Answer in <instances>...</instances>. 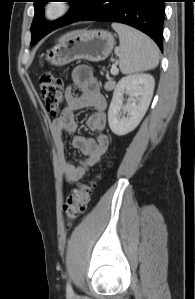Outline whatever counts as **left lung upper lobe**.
I'll list each match as a JSON object with an SVG mask.
<instances>
[{"label": "left lung upper lobe", "mask_w": 195, "mask_h": 299, "mask_svg": "<svg viewBox=\"0 0 195 299\" xmlns=\"http://www.w3.org/2000/svg\"><path fill=\"white\" fill-rule=\"evenodd\" d=\"M49 0H34L35 16L31 25L32 41L35 44L42 37L51 31L77 22L83 16V13L89 9L92 0H70L72 3L71 11L63 18L43 26L42 6Z\"/></svg>", "instance_id": "1"}]
</instances>
